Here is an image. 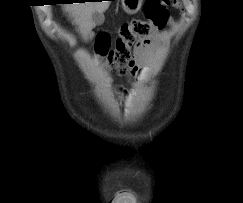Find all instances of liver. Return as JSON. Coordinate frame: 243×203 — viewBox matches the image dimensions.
Returning a JSON list of instances; mask_svg holds the SVG:
<instances>
[{
	"instance_id": "6515ba94",
	"label": "liver",
	"mask_w": 243,
	"mask_h": 203,
	"mask_svg": "<svg viewBox=\"0 0 243 203\" xmlns=\"http://www.w3.org/2000/svg\"><path fill=\"white\" fill-rule=\"evenodd\" d=\"M110 5L109 1L101 2H88V3H75V5L67 7V9L75 17L76 23L79 25V28L85 39L93 37L92 33V14L94 12L103 13L108 9Z\"/></svg>"
}]
</instances>
